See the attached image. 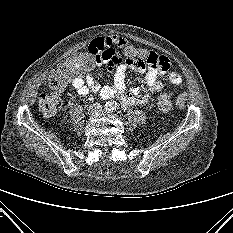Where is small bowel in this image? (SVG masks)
<instances>
[{
  "mask_svg": "<svg viewBox=\"0 0 233 233\" xmlns=\"http://www.w3.org/2000/svg\"><path fill=\"white\" fill-rule=\"evenodd\" d=\"M126 44L125 40L119 36L101 37L93 40L88 49L99 55L98 64H106L110 71L114 72V81L111 85L100 87L92 75L87 74L85 77L76 76L72 78V87L83 96L91 93H100L103 99L118 97L124 107L144 105L149 99L163 88L159 77L166 74L169 69V61L165 56H158L149 52V56L156 60L167 63L165 67L145 66L130 63L127 59L123 62L121 55L116 50ZM132 68L140 73H145L147 89L142 92L138 87H131L126 91L125 77L127 68ZM169 80L173 84H180L181 76L176 72H170Z\"/></svg>",
  "mask_w": 233,
  "mask_h": 233,
  "instance_id": "1",
  "label": "small bowel"
}]
</instances>
